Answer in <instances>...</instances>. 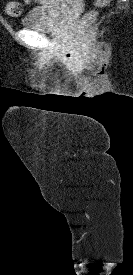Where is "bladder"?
<instances>
[{"label": "bladder", "instance_id": "31cf9c89", "mask_svg": "<svg viewBox=\"0 0 133 275\" xmlns=\"http://www.w3.org/2000/svg\"><path fill=\"white\" fill-rule=\"evenodd\" d=\"M65 0H50L48 5L33 7L22 19L26 29L39 32H53L59 29L63 19L62 4Z\"/></svg>", "mask_w": 133, "mask_h": 275}]
</instances>
